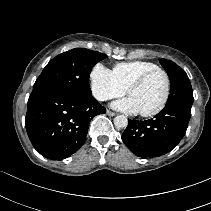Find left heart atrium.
<instances>
[{"mask_svg": "<svg viewBox=\"0 0 211 211\" xmlns=\"http://www.w3.org/2000/svg\"><path fill=\"white\" fill-rule=\"evenodd\" d=\"M115 109L128 112V113H137L139 112L135 102L131 97L116 101L112 104Z\"/></svg>", "mask_w": 211, "mask_h": 211, "instance_id": "1", "label": "left heart atrium"}]
</instances>
